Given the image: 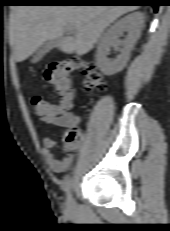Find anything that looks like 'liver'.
<instances>
[{"instance_id":"1","label":"liver","mask_w":170,"mask_h":231,"mask_svg":"<svg viewBox=\"0 0 170 231\" xmlns=\"http://www.w3.org/2000/svg\"><path fill=\"white\" fill-rule=\"evenodd\" d=\"M137 9V5L15 6L9 23L15 59L24 61L49 40H57V47L66 54L85 55L106 27ZM68 27L74 30L72 36H64Z\"/></svg>"}]
</instances>
